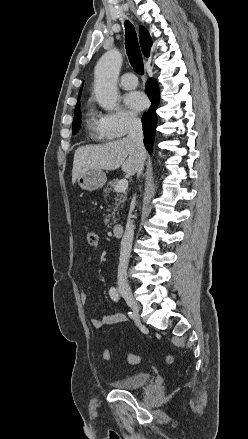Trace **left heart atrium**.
Wrapping results in <instances>:
<instances>
[{
    "mask_svg": "<svg viewBox=\"0 0 248 439\" xmlns=\"http://www.w3.org/2000/svg\"><path fill=\"white\" fill-rule=\"evenodd\" d=\"M124 100L126 105L136 112L142 111L147 105V99L140 91H134L126 94Z\"/></svg>",
    "mask_w": 248,
    "mask_h": 439,
    "instance_id": "left-heart-atrium-1",
    "label": "left heart atrium"
}]
</instances>
